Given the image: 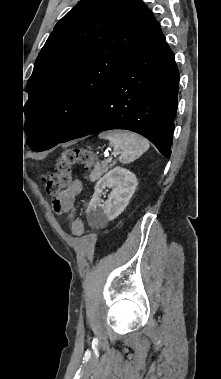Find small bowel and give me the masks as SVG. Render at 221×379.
<instances>
[{
	"label": "small bowel",
	"mask_w": 221,
	"mask_h": 379,
	"mask_svg": "<svg viewBox=\"0 0 221 379\" xmlns=\"http://www.w3.org/2000/svg\"><path fill=\"white\" fill-rule=\"evenodd\" d=\"M80 180H74L65 190H50V197H54L53 205L57 213L72 216L76 211V199L82 192Z\"/></svg>",
	"instance_id": "small-bowel-1"
}]
</instances>
